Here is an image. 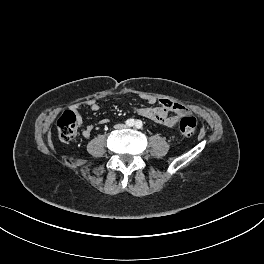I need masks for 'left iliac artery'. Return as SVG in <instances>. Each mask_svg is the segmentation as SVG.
<instances>
[{
    "label": "left iliac artery",
    "instance_id": "1",
    "mask_svg": "<svg viewBox=\"0 0 264 264\" xmlns=\"http://www.w3.org/2000/svg\"><path fill=\"white\" fill-rule=\"evenodd\" d=\"M142 126H143L142 121L141 120H137L136 123H135V127L137 129H140V128H142Z\"/></svg>",
    "mask_w": 264,
    "mask_h": 264
}]
</instances>
